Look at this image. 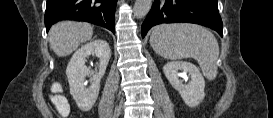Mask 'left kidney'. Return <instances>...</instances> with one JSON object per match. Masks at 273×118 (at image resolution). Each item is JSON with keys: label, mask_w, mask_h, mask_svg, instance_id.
I'll use <instances>...</instances> for the list:
<instances>
[{"label": "left kidney", "mask_w": 273, "mask_h": 118, "mask_svg": "<svg viewBox=\"0 0 273 118\" xmlns=\"http://www.w3.org/2000/svg\"><path fill=\"white\" fill-rule=\"evenodd\" d=\"M163 72L175 90L179 92L185 104L189 107L198 106L205 97V80L199 69L189 62L172 61L165 64ZM190 78L188 84H183L179 77Z\"/></svg>", "instance_id": "1"}]
</instances>
